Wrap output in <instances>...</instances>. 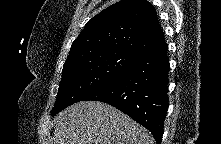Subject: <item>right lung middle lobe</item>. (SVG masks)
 <instances>
[{"label":"right lung middle lobe","instance_id":"right-lung-middle-lobe-1","mask_svg":"<svg viewBox=\"0 0 221 144\" xmlns=\"http://www.w3.org/2000/svg\"><path fill=\"white\" fill-rule=\"evenodd\" d=\"M139 58V55L131 52L110 50L64 65L51 114L55 115L69 105L82 101L88 94L120 75Z\"/></svg>","mask_w":221,"mask_h":144}]
</instances>
